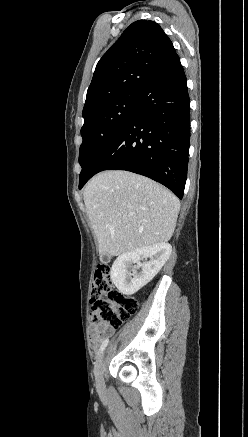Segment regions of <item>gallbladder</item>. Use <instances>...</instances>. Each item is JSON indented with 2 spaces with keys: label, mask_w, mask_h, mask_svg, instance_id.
<instances>
[{
  "label": "gallbladder",
  "mask_w": 248,
  "mask_h": 437,
  "mask_svg": "<svg viewBox=\"0 0 248 437\" xmlns=\"http://www.w3.org/2000/svg\"><path fill=\"white\" fill-rule=\"evenodd\" d=\"M101 260H102V261H106V260H107V255H106V254L101 255Z\"/></svg>",
  "instance_id": "bac80fb5"
}]
</instances>
